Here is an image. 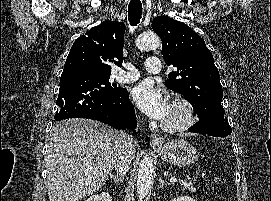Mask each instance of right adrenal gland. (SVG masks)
Segmentation results:
<instances>
[{
  "label": "right adrenal gland",
  "instance_id": "1",
  "mask_svg": "<svg viewBox=\"0 0 271 201\" xmlns=\"http://www.w3.org/2000/svg\"><path fill=\"white\" fill-rule=\"evenodd\" d=\"M110 178L113 179L114 183H119L120 181H122V178L119 175H111L110 174Z\"/></svg>",
  "mask_w": 271,
  "mask_h": 201
}]
</instances>
